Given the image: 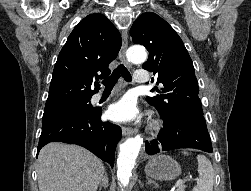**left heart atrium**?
<instances>
[{
  "label": "left heart atrium",
  "mask_w": 251,
  "mask_h": 191,
  "mask_svg": "<svg viewBox=\"0 0 251 191\" xmlns=\"http://www.w3.org/2000/svg\"><path fill=\"white\" fill-rule=\"evenodd\" d=\"M109 117L119 123L131 122L138 118L139 110L133 99L122 98L112 104L108 110Z\"/></svg>",
  "instance_id": "1"
}]
</instances>
